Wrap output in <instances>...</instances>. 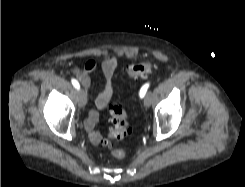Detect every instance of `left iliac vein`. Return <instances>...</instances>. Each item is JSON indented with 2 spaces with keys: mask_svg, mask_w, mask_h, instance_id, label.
I'll return each instance as SVG.
<instances>
[{
  "mask_svg": "<svg viewBox=\"0 0 245 187\" xmlns=\"http://www.w3.org/2000/svg\"><path fill=\"white\" fill-rule=\"evenodd\" d=\"M150 103H151V98L149 95H146L144 98V106L148 108L150 106Z\"/></svg>",
  "mask_w": 245,
  "mask_h": 187,
  "instance_id": "left-iliac-vein-1",
  "label": "left iliac vein"
}]
</instances>
